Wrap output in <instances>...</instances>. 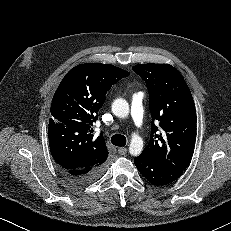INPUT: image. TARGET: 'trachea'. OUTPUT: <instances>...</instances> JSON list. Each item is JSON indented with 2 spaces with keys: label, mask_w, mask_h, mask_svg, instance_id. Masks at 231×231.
<instances>
[{
  "label": "trachea",
  "mask_w": 231,
  "mask_h": 231,
  "mask_svg": "<svg viewBox=\"0 0 231 231\" xmlns=\"http://www.w3.org/2000/svg\"><path fill=\"white\" fill-rule=\"evenodd\" d=\"M111 142L115 146H125L126 145V137L121 134H115L111 137Z\"/></svg>",
  "instance_id": "3493384b"
}]
</instances>
